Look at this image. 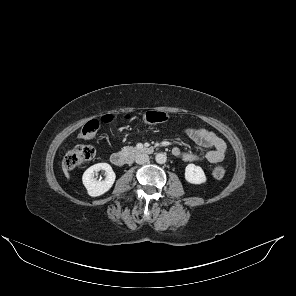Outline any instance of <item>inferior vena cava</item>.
Instances as JSON below:
<instances>
[{"mask_svg": "<svg viewBox=\"0 0 296 296\" xmlns=\"http://www.w3.org/2000/svg\"><path fill=\"white\" fill-rule=\"evenodd\" d=\"M149 161V156L144 153L137 154L135 157V162L137 164H145Z\"/></svg>", "mask_w": 296, "mask_h": 296, "instance_id": "inferior-vena-cava-1", "label": "inferior vena cava"}]
</instances>
